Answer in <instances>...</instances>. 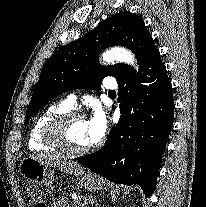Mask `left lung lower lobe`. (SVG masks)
<instances>
[{"label":"left lung lower lobe","instance_id":"1","mask_svg":"<svg viewBox=\"0 0 206 207\" xmlns=\"http://www.w3.org/2000/svg\"><path fill=\"white\" fill-rule=\"evenodd\" d=\"M140 70L118 82L120 120L105 145L78 163L102 177L125 185L138 184L149 197L173 126L172 85L160 53L152 45L140 61Z\"/></svg>","mask_w":206,"mask_h":207}]
</instances>
